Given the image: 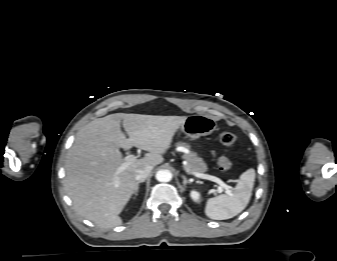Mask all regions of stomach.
Segmentation results:
<instances>
[{"instance_id": "1", "label": "stomach", "mask_w": 337, "mask_h": 261, "mask_svg": "<svg viewBox=\"0 0 337 261\" xmlns=\"http://www.w3.org/2000/svg\"><path fill=\"white\" fill-rule=\"evenodd\" d=\"M215 129V120L210 116L201 114L188 116L181 126V131L193 140L201 136L209 135L215 131Z\"/></svg>"}]
</instances>
